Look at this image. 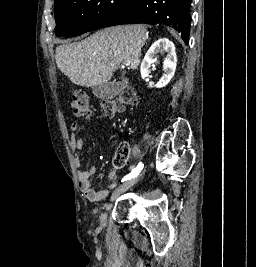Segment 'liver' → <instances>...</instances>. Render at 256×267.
Returning <instances> with one entry per match:
<instances>
[{
	"label": "liver",
	"mask_w": 256,
	"mask_h": 267,
	"mask_svg": "<svg viewBox=\"0 0 256 267\" xmlns=\"http://www.w3.org/2000/svg\"><path fill=\"white\" fill-rule=\"evenodd\" d=\"M146 32L144 24L105 28L83 42L58 46L56 64L77 86L107 84L120 66L130 64L131 70H136Z\"/></svg>",
	"instance_id": "6515ba94"
}]
</instances>
